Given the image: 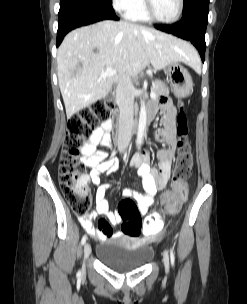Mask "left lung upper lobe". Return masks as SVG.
Wrapping results in <instances>:
<instances>
[{
    "mask_svg": "<svg viewBox=\"0 0 247 304\" xmlns=\"http://www.w3.org/2000/svg\"><path fill=\"white\" fill-rule=\"evenodd\" d=\"M197 1L199 0H184L182 15L185 14L191 8V6Z\"/></svg>",
    "mask_w": 247,
    "mask_h": 304,
    "instance_id": "5c2ea615",
    "label": "left lung upper lobe"
}]
</instances>
